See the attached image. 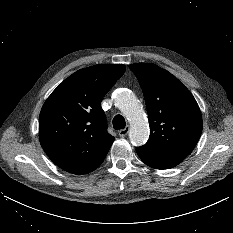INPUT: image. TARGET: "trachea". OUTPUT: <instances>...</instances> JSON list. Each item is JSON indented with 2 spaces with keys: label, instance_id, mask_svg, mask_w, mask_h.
Listing matches in <instances>:
<instances>
[{
  "label": "trachea",
  "instance_id": "trachea-1",
  "mask_svg": "<svg viewBox=\"0 0 233 233\" xmlns=\"http://www.w3.org/2000/svg\"><path fill=\"white\" fill-rule=\"evenodd\" d=\"M125 119L122 115H116L113 119V128L116 130L125 128Z\"/></svg>",
  "mask_w": 233,
  "mask_h": 233
}]
</instances>
